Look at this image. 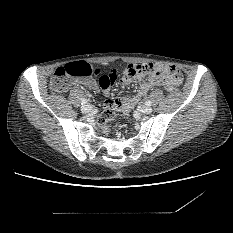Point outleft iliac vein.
<instances>
[{"mask_svg":"<svg viewBox=\"0 0 233 233\" xmlns=\"http://www.w3.org/2000/svg\"><path fill=\"white\" fill-rule=\"evenodd\" d=\"M140 108H141V111L145 114H150L152 112V107L150 106L142 105Z\"/></svg>","mask_w":233,"mask_h":233,"instance_id":"1","label":"left iliac vein"}]
</instances>
